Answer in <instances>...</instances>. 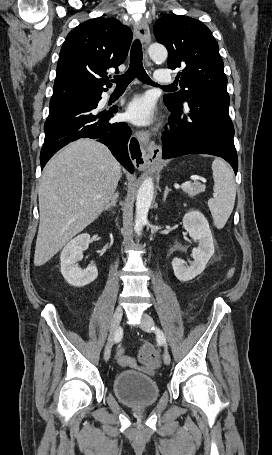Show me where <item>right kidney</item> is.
Returning a JSON list of instances; mask_svg holds the SVG:
<instances>
[{"instance_id":"right-kidney-1","label":"right kidney","mask_w":272,"mask_h":455,"mask_svg":"<svg viewBox=\"0 0 272 455\" xmlns=\"http://www.w3.org/2000/svg\"><path fill=\"white\" fill-rule=\"evenodd\" d=\"M89 243L90 235L84 233L72 239L61 252V273L72 286L83 287L93 282L98 276V270L94 264L84 270L77 264L83 258V251L88 248Z\"/></svg>"}]
</instances>
